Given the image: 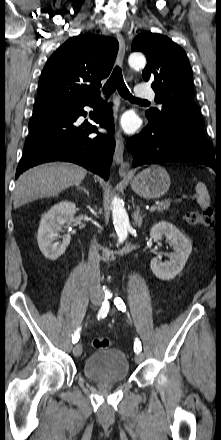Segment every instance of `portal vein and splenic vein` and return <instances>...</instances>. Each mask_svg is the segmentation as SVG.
Instances as JSON below:
<instances>
[{"instance_id":"18ae733b","label":"portal vein and splenic vein","mask_w":221,"mask_h":440,"mask_svg":"<svg viewBox=\"0 0 221 440\" xmlns=\"http://www.w3.org/2000/svg\"><path fill=\"white\" fill-rule=\"evenodd\" d=\"M155 208H156V206H152V207L149 209V211H150V212H153V211H155Z\"/></svg>"}]
</instances>
